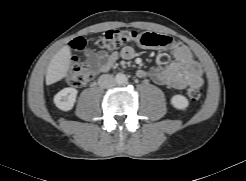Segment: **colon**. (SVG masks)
I'll return each instance as SVG.
<instances>
[{"label": "colon", "instance_id": "obj_1", "mask_svg": "<svg viewBox=\"0 0 246 181\" xmlns=\"http://www.w3.org/2000/svg\"><path fill=\"white\" fill-rule=\"evenodd\" d=\"M137 44L147 48H169L175 44L172 37L157 34L154 32H139L135 30L111 29L106 31L97 40L99 47L114 50L128 44ZM85 40L82 37L76 38L72 43L74 50H82ZM92 71L89 65L79 61L77 57L72 58L71 67L68 73V82L74 87H82L92 79ZM203 91L198 86H190L187 89V96L191 100H198L202 97Z\"/></svg>", "mask_w": 246, "mask_h": 181}]
</instances>
